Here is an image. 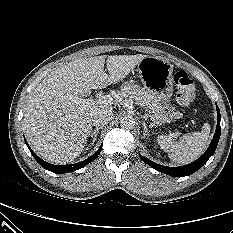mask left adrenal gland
I'll list each match as a JSON object with an SVG mask.
<instances>
[{
    "label": "left adrenal gland",
    "instance_id": "obj_1",
    "mask_svg": "<svg viewBox=\"0 0 233 233\" xmlns=\"http://www.w3.org/2000/svg\"><path fill=\"white\" fill-rule=\"evenodd\" d=\"M142 124H143V138H145L146 136H149V131H148V128H147V125H146V122L145 121H142Z\"/></svg>",
    "mask_w": 233,
    "mask_h": 233
}]
</instances>
